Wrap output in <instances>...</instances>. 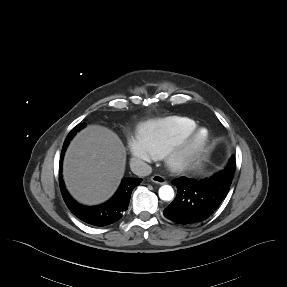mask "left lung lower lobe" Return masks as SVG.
I'll list each match as a JSON object with an SVG mask.
<instances>
[{"label":"left lung lower lobe","instance_id":"1","mask_svg":"<svg viewBox=\"0 0 287 287\" xmlns=\"http://www.w3.org/2000/svg\"><path fill=\"white\" fill-rule=\"evenodd\" d=\"M235 168V166H234ZM234 171L225 168L211 178L195 180L180 177L172 181L178 193L164 209V216L179 224H192L208 218L226 197Z\"/></svg>","mask_w":287,"mask_h":287}]
</instances>
